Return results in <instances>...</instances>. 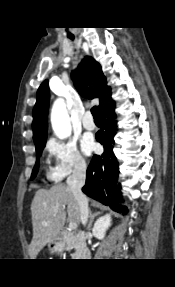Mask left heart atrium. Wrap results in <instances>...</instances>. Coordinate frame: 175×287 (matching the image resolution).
Listing matches in <instances>:
<instances>
[{"mask_svg":"<svg viewBox=\"0 0 175 287\" xmlns=\"http://www.w3.org/2000/svg\"><path fill=\"white\" fill-rule=\"evenodd\" d=\"M81 145L83 151L87 154H90L95 149V142L91 135L84 136Z\"/></svg>","mask_w":175,"mask_h":287,"instance_id":"obj_1","label":"left heart atrium"}]
</instances>
